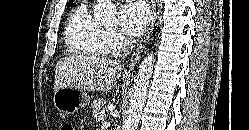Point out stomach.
<instances>
[{"label":"stomach","instance_id":"obj_1","mask_svg":"<svg viewBox=\"0 0 249 130\" xmlns=\"http://www.w3.org/2000/svg\"><path fill=\"white\" fill-rule=\"evenodd\" d=\"M54 105L62 113L74 114L90 103V97L80 89L63 87L54 93Z\"/></svg>","mask_w":249,"mask_h":130}]
</instances>
